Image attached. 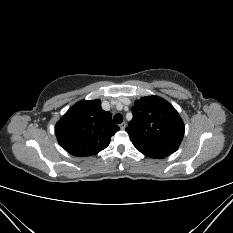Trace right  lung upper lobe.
<instances>
[{
	"instance_id": "cb5924a9",
	"label": "right lung upper lobe",
	"mask_w": 233,
	"mask_h": 233,
	"mask_svg": "<svg viewBox=\"0 0 233 233\" xmlns=\"http://www.w3.org/2000/svg\"><path fill=\"white\" fill-rule=\"evenodd\" d=\"M120 128L111 113L101 108V101L82 100L73 105L57 122L59 144L75 156H90L105 149Z\"/></svg>"
}]
</instances>
